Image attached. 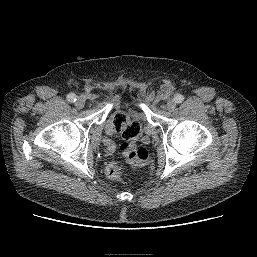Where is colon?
<instances>
[{
  "instance_id": "1",
  "label": "colon",
  "mask_w": 257,
  "mask_h": 257,
  "mask_svg": "<svg viewBox=\"0 0 257 257\" xmlns=\"http://www.w3.org/2000/svg\"><path fill=\"white\" fill-rule=\"evenodd\" d=\"M106 132L109 135L121 134L125 140L124 161L111 163L107 168V173L111 178H122L127 171L128 164L145 165L149 160L148 151L143 147H138L135 141L141 134V126L138 122L130 120L124 113H116L108 122ZM107 149L112 150L114 143L109 138L104 140Z\"/></svg>"
}]
</instances>
